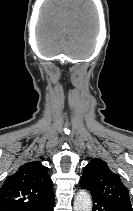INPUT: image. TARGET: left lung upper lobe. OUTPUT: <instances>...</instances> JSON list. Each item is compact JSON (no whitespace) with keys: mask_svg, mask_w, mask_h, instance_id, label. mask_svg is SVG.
<instances>
[{"mask_svg":"<svg viewBox=\"0 0 133 211\" xmlns=\"http://www.w3.org/2000/svg\"><path fill=\"white\" fill-rule=\"evenodd\" d=\"M82 188L90 191L92 198L108 202L131 211L129 193L120 177L101 159H93L84 169L80 180Z\"/></svg>","mask_w":133,"mask_h":211,"instance_id":"left-lung-upper-lobe-1","label":"left lung upper lobe"}]
</instances>
